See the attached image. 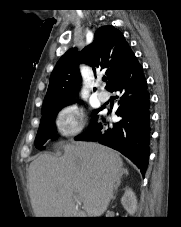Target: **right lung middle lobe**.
Segmentation results:
<instances>
[{
    "label": "right lung middle lobe",
    "instance_id": "right-lung-middle-lobe-1",
    "mask_svg": "<svg viewBox=\"0 0 181 227\" xmlns=\"http://www.w3.org/2000/svg\"><path fill=\"white\" fill-rule=\"evenodd\" d=\"M75 100L53 105L47 108L42 109V119L41 123L38 129V133L36 135L35 139V146L39 150H44V144L49 140V139H54L56 135V128L54 124L55 117L59 110L63 108L64 106L70 105L74 103ZM99 112V110H95L93 112L94 118L92 121V124L97 121V116L96 114Z\"/></svg>",
    "mask_w": 181,
    "mask_h": 227
}]
</instances>
